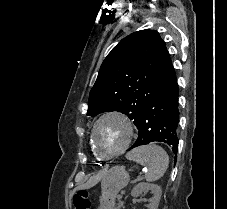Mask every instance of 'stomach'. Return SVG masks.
<instances>
[{"mask_svg": "<svg viewBox=\"0 0 227 209\" xmlns=\"http://www.w3.org/2000/svg\"><path fill=\"white\" fill-rule=\"evenodd\" d=\"M129 174L123 166H114L107 170L102 178L100 209H114L118 192L127 186Z\"/></svg>", "mask_w": 227, "mask_h": 209, "instance_id": "stomach-1", "label": "stomach"}]
</instances>
